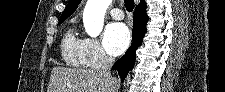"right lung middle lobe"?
I'll return each instance as SVG.
<instances>
[{
  "label": "right lung middle lobe",
  "instance_id": "1",
  "mask_svg": "<svg viewBox=\"0 0 225 92\" xmlns=\"http://www.w3.org/2000/svg\"><path fill=\"white\" fill-rule=\"evenodd\" d=\"M64 20H65V19H63V20H60V21H59V24H61L62 22H64Z\"/></svg>",
  "mask_w": 225,
  "mask_h": 92
}]
</instances>
